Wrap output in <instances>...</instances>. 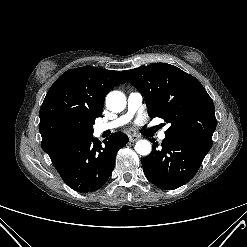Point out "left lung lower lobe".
<instances>
[{"label": "left lung lower lobe", "instance_id": "0a47b994", "mask_svg": "<svg viewBox=\"0 0 247 247\" xmlns=\"http://www.w3.org/2000/svg\"><path fill=\"white\" fill-rule=\"evenodd\" d=\"M153 144L151 154L142 159L143 171L151 183L165 190L189 182L209 152L195 143L176 138L165 137L160 150L154 139Z\"/></svg>", "mask_w": 247, "mask_h": 247}]
</instances>
